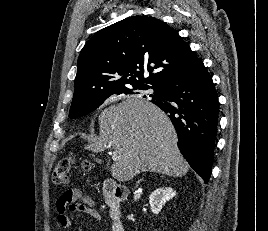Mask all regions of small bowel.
I'll use <instances>...</instances> for the list:
<instances>
[{
  "label": "small bowel",
  "instance_id": "c3829d8e",
  "mask_svg": "<svg viewBox=\"0 0 268 231\" xmlns=\"http://www.w3.org/2000/svg\"><path fill=\"white\" fill-rule=\"evenodd\" d=\"M57 222L63 229L72 227V213H85L99 220L100 214L95 200L78 187L66 189L56 201Z\"/></svg>",
  "mask_w": 268,
  "mask_h": 231
}]
</instances>
